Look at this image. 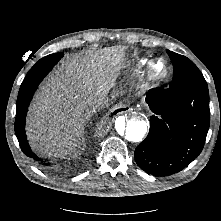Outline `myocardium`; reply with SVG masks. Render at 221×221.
<instances>
[{
  "label": "myocardium",
  "instance_id": "f54148a6",
  "mask_svg": "<svg viewBox=\"0 0 221 221\" xmlns=\"http://www.w3.org/2000/svg\"><path fill=\"white\" fill-rule=\"evenodd\" d=\"M158 62H163L165 64V72L163 74H158L155 71V65ZM170 72H171V66L169 62L163 57H158L150 61L148 70H147V78L152 83H155V84L162 83L169 78Z\"/></svg>",
  "mask_w": 221,
  "mask_h": 221
}]
</instances>
